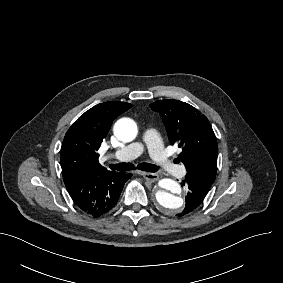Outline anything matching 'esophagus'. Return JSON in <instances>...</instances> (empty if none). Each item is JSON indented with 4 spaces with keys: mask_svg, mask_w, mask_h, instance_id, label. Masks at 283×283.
I'll use <instances>...</instances> for the list:
<instances>
[{
    "mask_svg": "<svg viewBox=\"0 0 283 283\" xmlns=\"http://www.w3.org/2000/svg\"><path fill=\"white\" fill-rule=\"evenodd\" d=\"M137 174L143 176L147 181L155 182L159 179V175L151 172L137 171Z\"/></svg>",
    "mask_w": 283,
    "mask_h": 283,
    "instance_id": "1",
    "label": "esophagus"
}]
</instances>
